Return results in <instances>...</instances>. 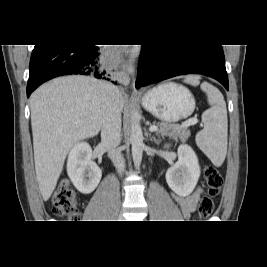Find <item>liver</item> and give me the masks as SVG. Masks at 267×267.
Returning a JSON list of instances; mask_svg holds the SVG:
<instances>
[{
    "label": "liver",
    "instance_id": "liver-1",
    "mask_svg": "<svg viewBox=\"0 0 267 267\" xmlns=\"http://www.w3.org/2000/svg\"><path fill=\"white\" fill-rule=\"evenodd\" d=\"M104 85L105 82L90 77L67 76L32 93L34 162L44 201L52 195L70 149L99 133L105 114ZM118 99L122 109L124 98L120 92Z\"/></svg>",
    "mask_w": 267,
    "mask_h": 267
}]
</instances>
